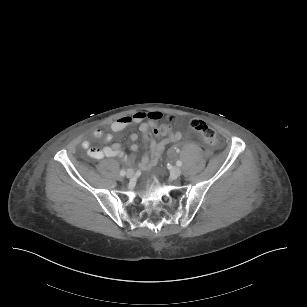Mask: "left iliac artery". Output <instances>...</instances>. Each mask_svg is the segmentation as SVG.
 Instances as JSON below:
<instances>
[{
	"mask_svg": "<svg viewBox=\"0 0 307 307\" xmlns=\"http://www.w3.org/2000/svg\"><path fill=\"white\" fill-rule=\"evenodd\" d=\"M176 165H177V166H182V162H181L180 160H178V161L176 162Z\"/></svg>",
	"mask_w": 307,
	"mask_h": 307,
	"instance_id": "44dca946",
	"label": "left iliac artery"
}]
</instances>
